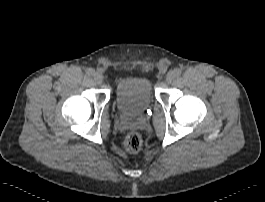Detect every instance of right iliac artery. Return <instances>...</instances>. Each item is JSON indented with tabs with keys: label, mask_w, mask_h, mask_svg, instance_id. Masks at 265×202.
I'll use <instances>...</instances> for the list:
<instances>
[{
	"label": "right iliac artery",
	"mask_w": 265,
	"mask_h": 202,
	"mask_svg": "<svg viewBox=\"0 0 265 202\" xmlns=\"http://www.w3.org/2000/svg\"><path fill=\"white\" fill-rule=\"evenodd\" d=\"M93 73H94V70L91 69V68H88V69L86 70V74L89 75V76L93 75Z\"/></svg>",
	"instance_id": "right-iliac-artery-1"
}]
</instances>
